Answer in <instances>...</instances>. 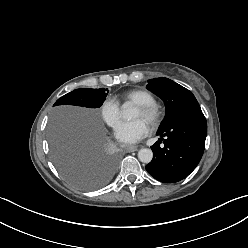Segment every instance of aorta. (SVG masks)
Returning <instances> with one entry per match:
<instances>
[{"label":"aorta","instance_id":"762f6f07","mask_svg":"<svg viewBox=\"0 0 248 248\" xmlns=\"http://www.w3.org/2000/svg\"><path fill=\"white\" fill-rule=\"evenodd\" d=\"M121 114H122L123 119H125V120H130L134 116L133 109L127 103L123 104ZM152 158H153V152L151 149L142 148L139 150L138 159L141 162L149 163V162H151Z\"/></svg>","mask_w":248,"mask_h":248}]
</instances>
